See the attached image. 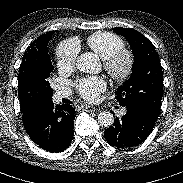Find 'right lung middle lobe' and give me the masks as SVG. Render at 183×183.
I'll list each match as a JSON object with an SVG mask.
<instances>
[{
	"instance_id": "obj_1",
	"label": "right lung middle lobe",
	"mask_w": 183,
	"mask_h": 183,
	"mask_svg": "<svg viewBox=\"0 0 183 183\" xmlns=\"http://www.w3.org/2000/svg\"><path fill=\"white\" fill-rule=\"evenodd\" d=\"M52 70L53 65L48 54L47 44H45L37 58L25 68L19 70L18 95L20 108L35 101L52 99L53 89L49 83Z\"/></svg>"
}]
</instances>
